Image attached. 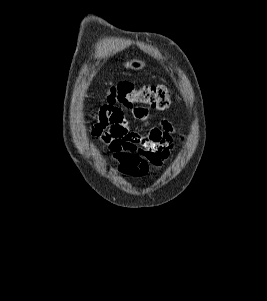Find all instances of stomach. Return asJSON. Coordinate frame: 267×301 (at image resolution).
Returning a JSON list of instances; mask_svg holds the SVG:
<instances>
[{"label": "stomach", "mask_w": 267, "mask_h": 301, "mask_svg": "<svg viewBox=\"0 0 267 301\" xmlns=\"http://www.w3.org/2000/svg\"><path fill=\"white\" fill-rule=\"evenodd\" d=\"M124 65L126 68H130L133 70H140L145 67V63L143 61L137 60V59L132 60L130 62H126Z\"/></svg>", "instance_id": "stomach-1"}]
</instances>
